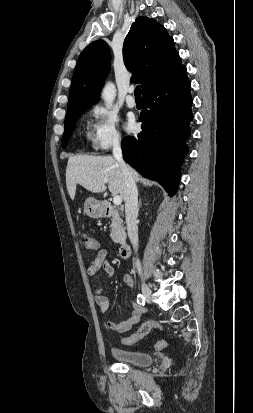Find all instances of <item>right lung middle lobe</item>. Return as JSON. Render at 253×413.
Segmentation results:
<instances>
[{
	"mask_svg": "<svg viewBox=\"0 0 253 413\" xmlns=\"http://www.w3.org/2000/svg\"><path fill=\"white\" fill-rule=\"evenodd\" d=\"M82 114L83 112L65 120V130H64V134H63V138L61 142L62 147L64 148L66 147L67 141L70 138L72 131L75 128V123L81 117Z\"/></svg>",
	"mask_w": 253,
	"mask_h": 413,
	"instance_id": "obj_1",
	"label": "right lung middle lobe"
}]
</instances>
